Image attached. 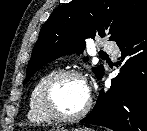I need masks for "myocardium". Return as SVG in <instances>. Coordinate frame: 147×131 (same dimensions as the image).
<instances>
[{
  "instance_id": "myocardium-1",
  "label": "myocardium",
  "mask_w": 147,
  "mask_h": 131,
  "mask_svg": "<svg viewBox=\"0 0 147 131\" xmlns=\"http://www.w3.org/2000/svg\"><path fill=\"white\" fill-rule=\"evenodd\" d=\"M75 77L86 82L84 75L75 69L60 70L50 76L42 85L39 101L43 112L51 119L59 122H73L77 121L88 114L92 106V100L89 97L86 106L75 114H64L58 110L54 102L53 93L56 86L64 79Z\"/></svg>"
}]
</instances>
